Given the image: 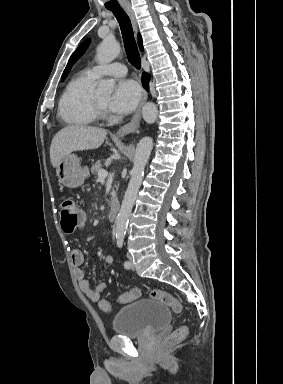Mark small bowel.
<instances>
[{
  "label": "small bowel",
  "instance_id": "c3829d8e",
  "mask_svg": "<svg viewBox=\"0 0 283 384\" xmlns=\"http://www.w3.org/2000/svg\"><path fill=\"white\" fill-rule=\"evenodd\" d=\"M70 259L73 267L75 268V275L80 290L85 294L88 300L92 302L99 301L101 293L106 289V284L101 282L94 288L90 286V283L85 276V272L81 269V265L84 262V255L80 249H73L70 253ZM105 262L106 264H112L113 257L110 255L106 256Z\"/></svg>",
  "mask_w": 283,
  "mask_h": 384
}]
</instances>
